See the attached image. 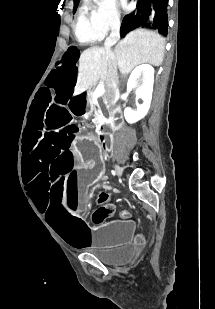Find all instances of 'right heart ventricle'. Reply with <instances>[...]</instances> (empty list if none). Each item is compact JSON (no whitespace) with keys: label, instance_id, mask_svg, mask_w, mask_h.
<instances>
[{"label":"right heart ventricle","instance_id":"right-heart-ventricle-1","mask_svg":"<svg viewBox=\"0 0 215 309\" xmlns=\"http://www.w3.org/2000/svg\"><path fill=\"white\" fill-rule=\"evenodd\" d=\"M76 34L79 42L83 43L89 38H93L94 34L100 33V28L95 27L94 19H90L89 14H84L83 19H76Z\"/></svg>","mask_w":215,"mask_h":309}]
</instances>
